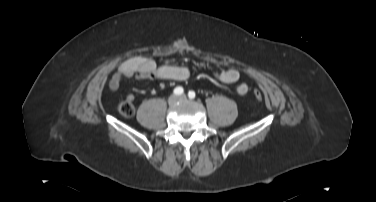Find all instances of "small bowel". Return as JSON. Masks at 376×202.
Here are the masks:
<instances>
[{"label":"small bowel","mask_w":376,"mask_h":202,"mask_svg":"<svg viewBox=\"0 0 376 202\" xmlns=\"http://www.w3.org/2000/svg\"><path fill=\"white\" fill-rule=\"evenodd\" d=\"M141 77L150 80H170V81H186L190 78V70L185 66L179 65H157L156 62L150 58L143 56H135L123 61L112 74L109 80V89L117 91L120 87L121 81L124 78ZM216 78L225 84L236 83L240 79V72L237 69L230 68L215 74ZM235 92L244 96L248 92V86L240 83L235 87ZM129 99L134 100L133 95L128 96Z\"/></svg>","instance_id":"1"}]
</instances>
